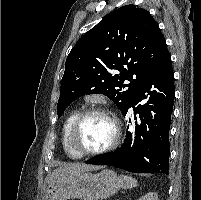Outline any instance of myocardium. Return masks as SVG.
I'll use <instances>...</instances> for the list:
<instances>
[{"mask_svg":"<svg viewBox=\"0 0 201 200\" xmlns=\"http://www.w3.org/2000/svg\"><path fill=\"white\" fill-rule=\"evenodd\" d=\"M92 115H102L108 118L113 126V136L111 141L100 149L92 151H81L76 145V139H75L76 133L82 121ZM120 137H121V127L118 118L109 109L100 106H94L82 111L76 117L68 132V145L76 158L98 156L108 153L113 149H115L119 144Z\"/></svg>","mask_w":201,"mask_h":200,"instance_id":"1","label":"myocardium"}]
</instances>
